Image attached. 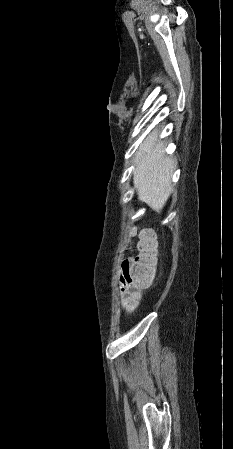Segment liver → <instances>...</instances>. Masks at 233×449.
I'll return each instance as SVG.
<instances>
[{"instance_id": "liver-1", "label": "liver", "mask_w": 233, "mask_h": 449, "mask_svg": "<svg viewBox=\"0 0 233 449\" xmlns=\"http://www.w3.org/2000/svg\"><path fill=\"white\" fill-rule=\"evenodd\" d=\"M157 138L154 130L140 145L133 174L138 198L160 212L173 190L171 178L176 160L165 156V145Z\"/></svg>"}]
</instances>
